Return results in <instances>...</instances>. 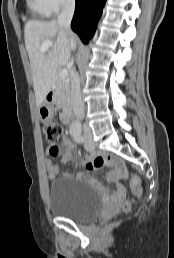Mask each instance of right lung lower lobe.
I'll return each mask as SVG.
<instances>
[{
	"mask_svg": "<svg viewBox=\"0 0 174 258\" xmlns=\"http://www.w3.org/2000/svg\"><path fill=\"white\" fill-rule=\"evenodd\" d=\"M106 0H76L71 28L84 43L93 36Z\"/></svg>",
	"mask_w": 174,
	"mask_h": 258,
	"instance_id": "1",
	"label": "right lung lower lobe"
}]
</instances>
